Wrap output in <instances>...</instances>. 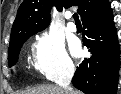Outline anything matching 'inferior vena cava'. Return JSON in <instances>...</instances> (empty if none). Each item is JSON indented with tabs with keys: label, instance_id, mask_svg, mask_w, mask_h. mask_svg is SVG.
<instances>
[{
	"label": "inferior vena cava",
	"instance_id": "1",
	"mask_svg": "<svg viewBox=\"0 0 121 94\" xmlns=\"http://www.w3.org/2000/svg\"><path fill=\"white\" fill-rule=\"evenodd\" d=\"M75 67L73 63H68L64 70V78L60 84L65 94H73V89L70 87L71 79L74 75Z\"/></svg>",
	"mask_w": 121,
	"mask_h": 94
}]
</instances>
